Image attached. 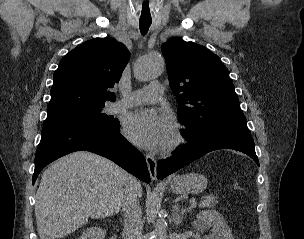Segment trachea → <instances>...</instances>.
Here are the masks:
<instances>
[{
    "label": "trachea",
    "instance_id": "trachea-1",
    "mask_svg": "<svg viewBox=\"0 0 304 239\" xmlns=\"http://www.w3.org/2000/svg\"><path fill=\"white\" fill-rule=\"evenodd\" d=\"M151 9V3L150 0H143V2L140 3L139 8V24H140V31L142 35H145L149 27L152 23L153 13L150 12Z\"/></svg>",
    "mask_w": 304,
    "mask_h": 239
}]
</instances>
